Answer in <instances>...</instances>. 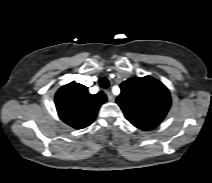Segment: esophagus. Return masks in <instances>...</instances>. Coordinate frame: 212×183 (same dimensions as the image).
Here are the masks:
<instances>
[{"label":"esophagus","instance_id":"esophagus-1","mask_svg":"<svg viewBox=\"0 0 212 183\" xmlns=\"http://www.w3.org/2000/svg\"><path fill=\"white\" fill-rule=\"evenodd\" d=\"M106 94H107V97H108V100L109 101H114L115 100V97L113 96L112 92L110 90H106Z\"/></svg>","mask_w":212,"mask_h":183}]
</instances>
